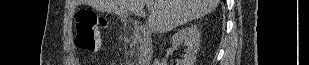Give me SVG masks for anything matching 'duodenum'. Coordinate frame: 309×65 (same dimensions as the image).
<instances>
[{
	"label": "duodenum",
	"instance_id": "duodenum-1",
	"mask_svg": "<svg viewBox=\"0 0 309 65\" xmlns=\"http://www.w3.org/2000/svg\"><path fill=\"white\" fill-rule=\"evenodd\" d=\"M133 41L138 46L137 65H150L153 57V41L150 33L146 29H134Z\"/></svg>",
	"mask_w": 309,
	"mask_h": 65
}]
</instances>
